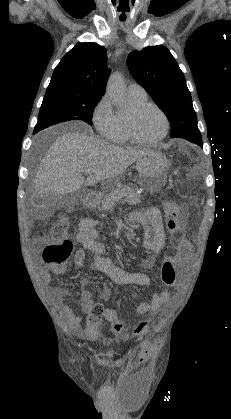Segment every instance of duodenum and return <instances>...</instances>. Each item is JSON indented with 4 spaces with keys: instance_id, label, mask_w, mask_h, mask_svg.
I'll use <instances>...</instances> for the list:
<instances>
[{
    "instance_id": "duodenum-1",
    "label": "duodenum",
    "mask_w": 231,
    "mask_h": 419,
    "mask_svg": "<svg viewBox=\"0 0 231 419\" xmlns=\"http://www.w3.org/2000/svg\"><path fill=\"white\" fill-rule=\"evenodd\" d=\"M97 202V195L95 193H87L84 199V204L86 207H94Z\"/></svg>"
}]
</instances>
